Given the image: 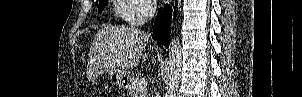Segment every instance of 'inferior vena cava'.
Returning <instances> with one entry per match:
<instances>
[{"instance_id": "inferior-vena-cava-1", "label": "inferior vena cava", "mask_w": 302, "mask_h": 97, "mask_svg": "<svg viewBox=\"0 0 302 97\" xmlns=\"http://www.w3.org/2000/svg\"><path fill=\"white\" fill-rule=\"evenodd\" d=\"M156 8H157V3L156 0H151L148 3V12H149V16L153 17L155 12H156Z\"/></svg>"}]
</instances>
